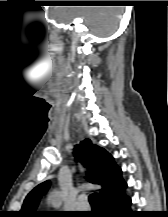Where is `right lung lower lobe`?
Instances as JSON below:
<instances>
[{"label":"right lung lower lobe","mask_w":168,"mask_h":217,"mask_svg":"<svg viewBox=\"0 0 168 217\" xmlns=\"http://www.w3.org/2000/svg\"><path fill=\"white\" fill-rule=\"evenodd\" d=\"M124 189L100 203L99 217L138 216L134 211H131V198L125 195Z\"/></svg>","instance_id":"1"}]
</instances>
